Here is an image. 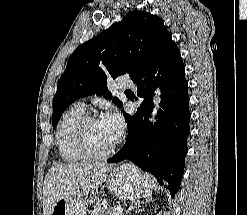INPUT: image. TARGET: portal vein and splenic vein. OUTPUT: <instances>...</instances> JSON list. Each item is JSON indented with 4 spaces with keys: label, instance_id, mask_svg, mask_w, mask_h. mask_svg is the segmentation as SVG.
Masks as SVG:
<instances>
[{
    "label": "portal vein and splenic vein",
    "instance_id": "18ae733b",
    "mask_svg": "<svg viewBox=\"0 0 247 215\" xmlns=\"http://www.w3.org/2000/svg\"><path fill=\"white\" fill-rule=\"evenodd\" d=\"M115 211H116V215H122L123 213V209L121 207L116 208Z\"/></svg>",
    "mask_w": 247,
    "mask_h": 215
}]
</instances>
